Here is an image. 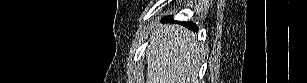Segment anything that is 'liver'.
Wrapping results in <instances>:
<instances>
[{
  "instance_id": "1",
  "label": "liver",
  "mask_w": 307,
  "mask_h": 83,
  "mask_svg": "<svg viewBox=\"0 0 307 83\" xmlns=\"http://www.w3.org/2000/svg\"><path fill=\"white\" fill-rule=\"evenodd\" d=\"M201 52L191 31L173 25L160 27L146 50V83H198Z\"/></svg>"
}]
</instances>
